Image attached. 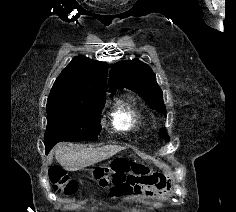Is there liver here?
Returning a JSON list of instances; mask_svg holds the SVG:
<instances>
[{"label": "liver", "instance_id": "6515ba94", "mask_svg": "<svg viewBox=\"0 0 236 212\" xmlns=\"http://www.w3.org/2000/svg\"><path fill=\"white\" fill-rule=\"evenodd\" d=\"M124 147L109 145L100 148H87L84 145L64 146L58 144L55 150V158L59 164L67 171H78L85 167L94 165L102 160L108 159ZM49 163L52 162V156L48 157Z\"/></svg>", "mask_w": 236, "mask_h": 212}]
</instances>
